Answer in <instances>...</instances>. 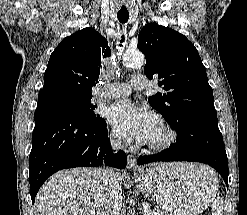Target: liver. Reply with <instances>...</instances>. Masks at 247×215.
Segmentation results:
<instances>
[{
  "instance_id": "1",
  "label": "liver",
  "mask_w": 247,
  "mask_h": 215,
  "mask_svg": "<svg viewBox=\"0 0 247 215\" xmlns=\"http://www.w3.org/2000/svg\"><path fill=\"white\" fill-rule=\"evenodd\" d=\"M190 165V170H194V164ZM102 172L101 168L83 167L54 174L36 196V215H106L112 192L101 179ZM210 172L214 173L211 169ZM119 178L118 192L122 200L124 175L119 174Z\"/></svg>"
}]
</instances>
